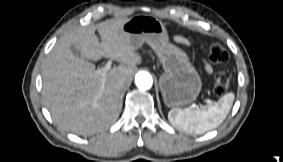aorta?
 I'll return each mask as SVG.
<instances>
[{
    "label": "aorta",
    "mask_w": 283,
    "mask_h": 162,
    "mask_svg": "<svg viewBox=\"0 0 283 162\" xmlns=\"http://www.w3.org/2000/svg\"><path fill=\"white\" fill-rule=\"evenodd\" d=\"M135 84L140 90H148L153 85L152 76L146 71H140L135 76Z\"/></svg>",
    "instance_id": "aorta-1"
}]
</instances>
